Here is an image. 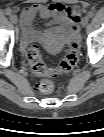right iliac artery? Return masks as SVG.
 <instances>
[{
  "mask_svg": "<svg viewBox=\"0 0 104 137\" xmlns=\"http://www.w3.org/2000/svg\"><path fill=\"white\" fill-rule=\"evenodd\" d=\"M11 13H12L11 9H6V10H5V14H6V15H11Z\"/></svg>",
  "mask_w": 104,
  "mask_h": 137,
  "instance_id": "obj_1",
  "label": "right iliac artery"
}]
</instances>
